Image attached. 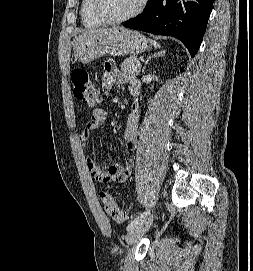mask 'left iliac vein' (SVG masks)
Wrapping results in <instances>:
<instances>
[{
	"label": "left iliac vein",
	"mask_w": 253,
	"mask_h": 271,
	"mask_svg": "<svg viewBox=\"0 0 253 271\" xmlns=\"http://www.w3.org/2000/svg\"><path fill=\"white\" fill-rule=\"evenodd\" d=\"M153 222V215L148 219H144L139 224L131 228L126 235V242L128 245L136 243L149 229Z\"/></svg>",
	"instance_id": "1"
}]
</instances>
